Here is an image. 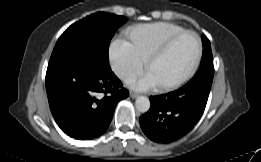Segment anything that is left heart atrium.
<instances>
[{
    "label": "left heart atrium",
    "mask_w": 261,
    "mask_h": 162,
    "mask_svg": "<svg viewBox=\"0 0 261 162\" xmlns=\"http://www.w3.org/2000/svg\"><path fill=\"white\" fill-rule=\"evenodd\" d=\"M128 85L138 91H149L158 87L160 83L150 71H147L141 77L130 80Z\"/></svg>",
    "instance_id": "left-heart-atrium-1"
}]
</instances>
